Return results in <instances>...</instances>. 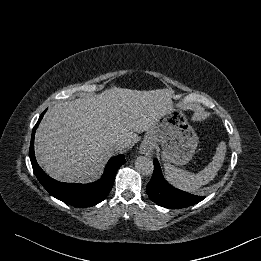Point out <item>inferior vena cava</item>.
<instances>
[{"instance_id":"602c4592","label":"inferior vena cava","mask_w":261,"mask_h":261,"mask_svg":"<svg viewBox=\"0 0 261 261\" xmlns=\"http://www.w3.org/2000/svg\"><path fill=\"white\" fill-rule=\"evenodd\" d=\"M125 146H126V144L123 141L119 140V141L115 142L112 147L115 150H120V149L124 148Z\"/></svg>"}]
</instances>
